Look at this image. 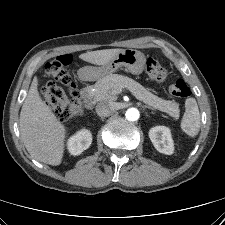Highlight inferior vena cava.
Segmentation results:
<instances>
[{"instance_id": "602c4592", "label": "inferior vena cava", "mask_w": 225, "mask_h": 225, "mask_svg": "<svg viewBox=\"0 0 225 225\" xmlns=\"http://www.w3.org/2000/svg\"><path fill=\"white\" fill-rule=\"evenodd\" d=\"M95 110L100 117H107L113 111V105L110 102L102 101L96 105Z\"/></svg>"}]
</instances>
